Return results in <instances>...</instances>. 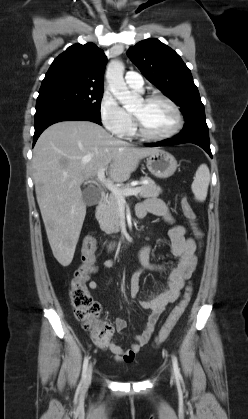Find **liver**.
Returning <instances> with one entry per match:
<instances>
[{"label":"liver","mask_w":248,"mask_h":419,"mask_svg":"<svg viewBox=\"0 0 248 419\" xmlns=\"http://www.w3.org/2000/svg\"><path fill=\"white\" fill-rule=\"evenodd\" d=\"M158 148H139L90 121H63L47 128L33 150V180L48 241L64 267L73 260L86 215L81 185L100 169L124 182L141 159Z\"/></svg>","instance_id":"obj_1"}]
</instances>
